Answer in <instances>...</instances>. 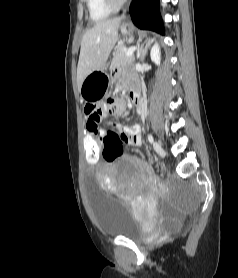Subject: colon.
Returning <instances> with one entry per match:
<instances>
[{
    "instance_id": "colon-1",
    "label": "colon",
    "mask_w": 238,
    "mask_h": 278,
    "mask_svg": "<svg viewBox=\"0 0 238 278\" xmlns=\"http://www.w3.org/2000/svg\"><path fill=\"white\" fill-rule=\"evenodd\" d=\"M105 141V137H95L94 133H90L89 137L84 138L86 162H98L101 156H104L107 161H113L122 154L123 148L120 142L105 144Z\"/></svg>"
}]
</instances>
